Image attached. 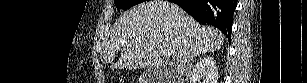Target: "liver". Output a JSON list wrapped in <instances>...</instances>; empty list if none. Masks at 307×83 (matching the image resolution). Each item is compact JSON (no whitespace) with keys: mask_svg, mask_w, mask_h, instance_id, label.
I'll use <instances>...</instances> for the list:
<instances>
[{"mask_svg":"<svg viewBox=\"0 0 307 83\" xmlns=\"http://www.w3.org/2000/svg\"><path fill=\"white\" fill-rule=\"evenodd\" d=\"M224 39L219 30L201 26L179 6L151 0L116 20L104 42L103 58L112 63L123 48L115 67L159 69L164 52L172 49L180 67L196 56L219 50Z\"/></svg>","mask_w":307,"mask_h":83,"instance_id":"liver-1","label":"liver"}]
</instances>
